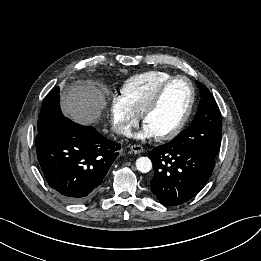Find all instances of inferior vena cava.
<instances>
[{
  "mask_svg": "<svg viewBox=\"0 0 261 261\" xmlns=\"http://www.w3.org/2000/svg\"><path fill=\"white\" fill-rule=\"evenodd\" d=\"M113 130L118 134H124L127 135L130 133V129L122 124H116L113 126Z\"/></svg>",
  "mask_w": 261,
  "mask_h": 261,
  "instance_id": "602c4592",
  "label": "inferior vena cava"
}]
</instances>
